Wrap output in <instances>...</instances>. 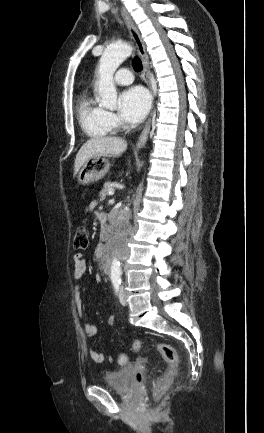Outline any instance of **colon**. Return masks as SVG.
Instances as JSON below:
<instances>
[{
	"label": "colon",
	"instance_id": "obj_1",
	"mask_svg": "<svg viewBox=\"0 0 264 433\" xmlns=\"http://www.w3.org/2000/svg\"><path fill=\"white\" fill-rule=\"evenodd\" d=\"M89 246V236L87 229L83 226L79 227L74 236V248L76 250L84 251ZM154 349L162 356L166 363V371L162 378V382L167 384L170 383L176 373L178 366V355L176 350L169 344L164 342H156L153 344ZM133 349L135 352H142L144 349V343L140 340H136L133 343ZM128 361V356L124 353L119 354L118 362L121 365L126 364Z\"/></svg>",
	"mask_w": 264,
	"mask_h": 433
}]
</instances>
